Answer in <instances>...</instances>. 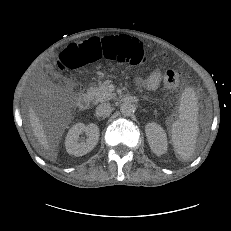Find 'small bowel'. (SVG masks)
<instances>
[{
  "label": "small bowel",
  "instance_id": "c3829d8e",
  "mask_svg": "<svg viewBox=\"0 0 231 231\" xmlns=\"http://www.w3.org/2000/svg\"><path fill=\"white\" fill-rule=\"evenodd\" d=\"M161 79V73L158 70L153 71L148 79L144 82V85L149 90H154L158 87Z\"/></svg>",
  "mask_w": 231,
  "mask_h": 231
}]
</instances>
